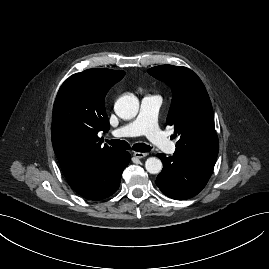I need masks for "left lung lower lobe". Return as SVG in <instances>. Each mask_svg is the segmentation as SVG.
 <instances>
[{"instance_id":"0a47b994","label":"left lung lower lobe","mask_w":269,"mask_h":269,"mask_svg":"<svg viewBox=\"0 0 269 269\" xmlns=\"http://www.w3.org/2000/svg\"><path fill=\"white\" fill-rule=\"evenodd\" d=\"M218 153L176 148L173 156L157 154L163 162L156 178L161 192L169 198L184 200L197 195L207 184Z\"/></svg>"}]
</instances>
